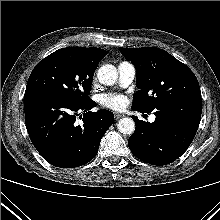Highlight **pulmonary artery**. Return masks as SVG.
Here are the masks:
<instances>
[{"label":"pulmonary artery","instance_id":"pulmonary-artery-1","mask_svg":"<svg viewBox=\"0 0 220 220\" xmlns=\"http://www.w3.org/2000/svg\"><path fill=\"white\" fill-rule=\"evenodd\" d=\"M117 70H118L120 85L122 87L129 86L135 78V74H136L135 66L130 62L123 61L119 63ZM155 118H156L155 115H151L149 117V121L154 122Z\"/></svg>","mask_w":220,"mask_h":220}]
</instances>
